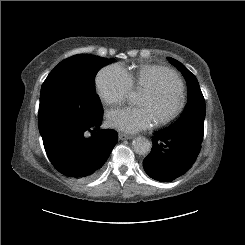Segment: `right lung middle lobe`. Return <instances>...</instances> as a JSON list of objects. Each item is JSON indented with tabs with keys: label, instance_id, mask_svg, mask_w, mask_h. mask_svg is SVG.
<instances>
[{
	"label": "right lung middle lobe",
	"instance_id": "dd1d6c3e",
	"mask_svg": "<svg viewBox=\"0 0 245 245\" xmlns=\"http://www.w3.org/2000/svg\"><path fill=\"white\" fill-rule=\"evenodd\" d=\"M109 60L78 54L61 61L44 81L38 113L42 139L58 129L86 126L102 116L93 93L96 72Z\"/></svg>",
	"mask_w": 245,
	"mask_h": 245
}]
</instances>
